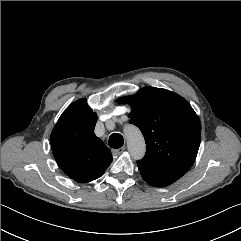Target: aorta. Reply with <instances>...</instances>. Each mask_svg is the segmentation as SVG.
<instances>
[{
	"label": "aorta",
	"mask_w": 241,
	"mask_h": 241,
	"mask_svg": "<svg viewBox=\"0 0 241 241\" xmlns=\"http://www.w3.org/2000/svg\"><path fill=\"white\" fill-rule=\"evenodd\" d=\"M125 136L130 154L135 159H140L145 153V142L140 130L135 126L125 129Z\"/></svg>",
	"instance_id": "obj_1"
}]
</instances>
